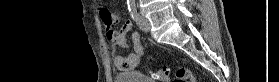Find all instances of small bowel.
Here are the masks:
<instances>
[{
	"instance_id": "1",
	"label": "small bowel",
	"mask_w": 279,
	"mask_h": 82,
	"mask_svg": "<svg viewBox=\"0 0 279 82\" xmlns=\"http://www.w3.org/2000/svg\"><path fill=\"white\" fill-rule=\"evenodd\" d=\"M119 20L117 18L114 19V24H118ZM132 22L125 21L120 30L115 31L112 28H106V34L108 39L122 47L126 46L125 35L132 30ZM132 42H133V51L129 53L127 56L122 54H116L114 56V64L121 70L132 71L134 70L141 62L143 56V46L140 42V37L137 32L132 33Z\"/></svg>"
}]
</instances>
